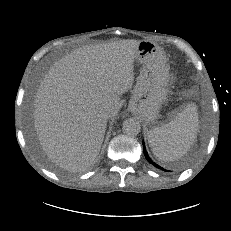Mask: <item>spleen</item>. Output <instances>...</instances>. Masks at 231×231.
<instances>
[{
	"mask_svg": "<svg viewBox=\"0 0 231 231\" xmlns=\"http://www.w3.org/2000/svg\"><path fill=\"white\" fill-rule=\"evenodd\" d=\"M199 119L195 104H188L174 118L148 131L147 139L153 154L163 162L181 158L196 139Z\"/></svg>",
	"mask_w": 231,
	"mask_h": 231,
	"instance_id": "1",
	"label": "spleen"
}]
</instances>
